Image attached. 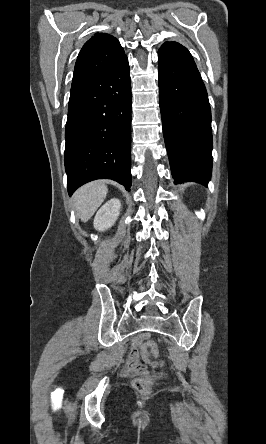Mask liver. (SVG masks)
Masks as SVG:
<instances>
[{
	"label": "liver",
	"instance_id": "6515ba94",
	"mask_svg": "<svg viewBox=\"0 0 266 444\" xmlns=\"http://www.w3.org/2000/svg\"><path fill=\"white\" fill-rule=\"evenodd\" d=\"M108 189L103 182L94 181L79 188L74 194V207L82 222H87L103 203Z\"/></svg>",
	"mask_w": 266,
	"mask_h": 444
}]
</instances>
